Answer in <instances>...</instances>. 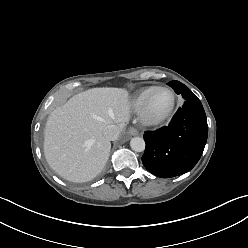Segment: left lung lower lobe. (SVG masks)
Listing matches in <instances>:
<instances>
[{
  "mask_svg": "<svg viewBox=\"0 0 248 248\" xmlns=\"http://www.w3.org/2000/svg\"><path fill=\"white\" fill-rule=\"evenodd\" d=\"M207 136L206 114L200 100L194 96L184 102L168 126L144 133L143 165L161 178L182 175L200 159Z\"/></svg>",
  "mask_w": 248,
  "mask_h": 248,
  "instance_id": "obj_1",
  "label": "left lung lower lobe"
}]
</instances>
